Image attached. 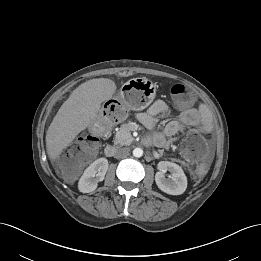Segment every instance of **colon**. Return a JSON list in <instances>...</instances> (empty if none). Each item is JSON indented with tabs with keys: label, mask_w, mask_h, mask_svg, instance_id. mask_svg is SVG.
Listing matches in <instances>:
<instances>
[{
	"label": "colon",
	"mask_w": 261,
	"mask_h": 261,
	"mask_svg": "<svg viewBox=\"0 0 261 261\" xmlns=\"http://www.w3.org/2000/svg\"><path fill=\"white\" fill-rule=\"evenodd\" d=\"M171 94L175 102L180 106L192 104L194 95L189 88L182 84H175L171 88ZM107 115L112 120H120L123 114L120 109L107 108ZM108 125L103 124L92 133L80 139L75 146L58 159V166L62 174L67 178H74L81 170L83 164L91 159L98 147L100 138L107 133ZM185 152L192 158L202 154L203 144L198 137L191 138L184 144Z\"/></svg>",
	"instance_id": "obj_1"
}]
</instances>
